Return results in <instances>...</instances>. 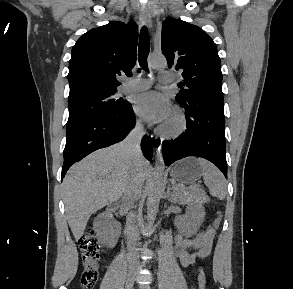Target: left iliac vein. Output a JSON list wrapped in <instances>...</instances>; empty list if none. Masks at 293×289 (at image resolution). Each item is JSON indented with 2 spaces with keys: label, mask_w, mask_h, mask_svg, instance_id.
Here are the masks:
<instances>
[{
  "label": "left iliac vein",
  "mask_w": 293,
  "mask_h": 289,
  "mask_svg": "<svg viewBox=\"0 0 293 289\" xmlns=\"http://www.w3.org/2000/svg\"><path fill=\"white\" fill-rule=\"evenodd\" d=\"M141 288L142 289H151V287L149 285H142Z\"/></svg>",
  "instance_id": "4c4485c4"
}]
</instances>
